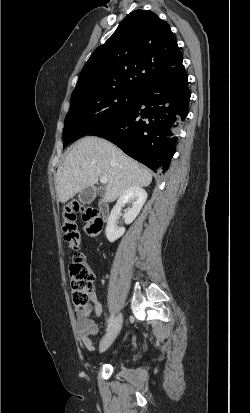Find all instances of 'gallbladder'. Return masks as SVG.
<instances>
[{
	"mask_svg": "<svg viewBox=\"0 0 250 413\" xmlns=\"http://www.w3.org/2000/svg\"><path fill=\"white\" fill-rule=\"evenodd\" d=\"M99 193L103 194V189H101ZM95 196H96L95 189L93 187H87L78 194V199L83 204H90L95 198Z\"/></svg>",
	"mask_w": 250,
	"mask_h": 413,
	"instance_id": "gallbladder-1",
	"label": "gallbladder"
}]
</instances>
